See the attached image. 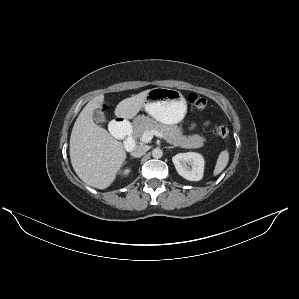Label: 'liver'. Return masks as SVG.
Instances as JSON below:
<instances>
[{"mask_svg": "<svg viewBox=\"0 0 299 299\" xmlns=\"http://www.w3.org/2000/svg\"><path fill=\"white\" fill-rule=\"evenodd\" d=\"M149 90L122 100L115 115L134 118L145 104ZM104 103V95L90 100L76 119L70 137V159L74 171L87 185L105 189L115 180L126 152L123 144L93 121V111Z\"/></svg>", "mask_w": 299, "mask_h": 299, "instance_id": "1", "label": "liver"}]
</instances>
